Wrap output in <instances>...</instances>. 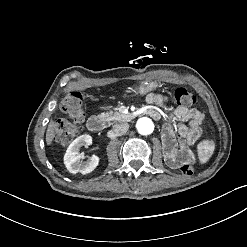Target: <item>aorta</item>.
<instances>
[{
  "label": "aorta",
  "instance_id": "obj_1",
  "mask_svg": "<svg viewBox=\"0 0 247 247\" xmlns=\"http://www.w3.org/2000/svg\"><path fill=\"white\" fill-rule=\"evenodd\" d=\"M137 130L142 135H149L154 130V124L150 118L142 117L137 121Z\"/></svg>",
  "mask_w": 247,
  "mask_h": 247
}]
</instances>
